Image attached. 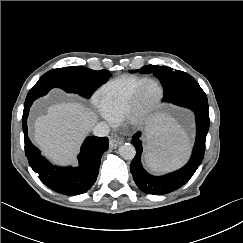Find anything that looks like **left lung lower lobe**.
Wrapping results in <instances>:
<instances>
[{
  "mask_svg": "<svg viewBox=\"0 0 243 243\" xmlns=\"http://www.w3.org/2000/svg\"><path fill=\"white\" fill-rule=\"evenodd\" d=\"M169 103L186 107L196 116V141L188 163L181 169L163 176L147 173L141 164V132L135 134L131 143L136 149V156L130 164V170L137 186L145 193L163 195L175 191L186 184L200 166L205 152V141L209 129L208 100L202 88H195L173 96Z\"/></svg>",
  "mask_w": 243,
  "mask_h": 243,
  "instance_id": "left-lung-lower-lobe-1",
  "label": "left lung lower lobe"
}]
</instances>
